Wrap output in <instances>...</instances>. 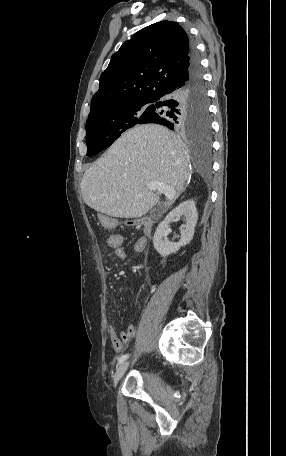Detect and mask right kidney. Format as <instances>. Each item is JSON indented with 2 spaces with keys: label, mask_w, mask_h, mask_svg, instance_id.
<instances>
[{
  "label": "right kidney",
  "mask_w": 286,
  "mask_h": 456,
  "mask_svg": "<svg viewBox=\"0 0 286 456\" xmlns=\"http://www.w3.org/2000/svg\"><path fill=\"white\" fill-rule=\"evenodd\" d=\"M181 216L185 217L186 225L181 230V239L178 243L170 242L165 235V229L168 224ZM198 214L195 207V202L188 199L176 208H174L166 218L158 225L154 237L153 244L156 251L163 257L177 252L180 247L187 245L193 238L195 226L197 224Z\"/></svg>",
  "instance_id": "right-kidney-1"
}]
</instances>
